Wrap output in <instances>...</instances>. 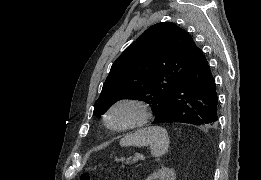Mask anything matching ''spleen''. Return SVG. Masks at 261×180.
<instances>
[{
  "label": "spleen",
  "instance_id": "1",
  "mask_svg": "<svg viewBox=\"0 0 261 180\" xmlns=\"http://www.w3.org/2000/svg\"><path fill=\"white\" fill-rule=\"evenodd\" d=\"M120 146H150L153 158H160L168 152L169 136L165 128L160 126H149V128H142L137 130L135 134H128L125 138L120 140Z\"/></svg>",
  "mask_w": 261,
  "mask_h": 180
}]
</instances>
